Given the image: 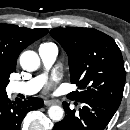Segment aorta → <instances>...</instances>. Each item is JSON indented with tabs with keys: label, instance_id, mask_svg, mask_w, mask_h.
<instances>
[{
	"label": "aorta",
	"instance_id": "1",
	"mask_svg": "<svg viewBox=\"0 0 130 130\" xmlns=\"http://www.w3.org/2000/svg\"><path fill=\"white\" fill-rule=\"evenodd\" d=\"M21 67L29 72L36 71L40 66V58L34 51H25L20 56ZM64 110L60 106L54 105L48 109L49 118L53 121H61Z\"/></svg>",
	"mask_w": 130,
	"mask_h": 130
}]
</instances>
